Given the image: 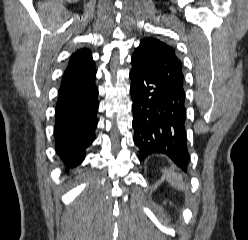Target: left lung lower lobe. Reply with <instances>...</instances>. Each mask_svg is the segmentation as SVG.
Segmentation results:
<instances>
[{
    "mask_svg": "<svg viewBox=\"0 0 248 240\" xmlns=\"http://www.w3.org/2000/svg\"><path fill=\"white\" fill-rule=\"evenodd\" d=\"M131 62L132 124L138 158L142 161L151 154H165L185 171L190 160L185 93L147 64L134 57Z\"/></svg>",
    "mask_w": 248,
    "mask_h": 240,
    "instance_id": "0a47b994",
    "label": "left lung lower lobe"
}]
</instances>
